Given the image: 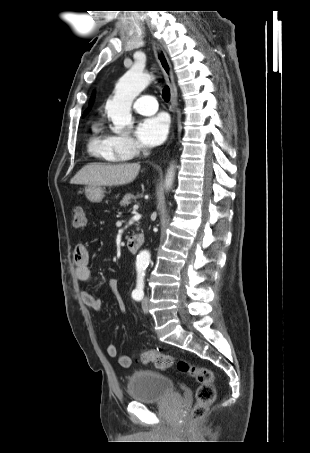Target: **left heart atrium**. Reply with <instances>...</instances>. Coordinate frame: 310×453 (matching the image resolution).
<instances>
[{
    "label": "left heart atrium",
    "mask_w": 310,
    "mask_h": 453,
    "mask_svg": "<svg viewBox=\"0 0 310 453\" xmlns=\"http://www.w3.org/2000/svg\"><path fill=\"white\" fill-rule=\"evenodd\" d=\"M169 130V119L164 114H158L143 119L136 129L138 139L146 146L162 143Z\"/></svg>",
    "instance_id": "left-heart-atrium-1"
}]
</instances>
